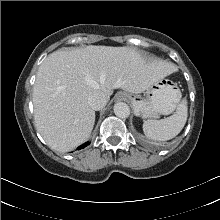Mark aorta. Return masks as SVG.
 Returning <instances> with one entry per match:
<instances>
[{
  "instance_id": "obj_1",
  "label": "aorta",
  "mask_w": 220,
  "mask_h": 220,
  "mask_svg": "<svg viewBox=\"0 0 220 220\" xmlns=\"http://www.w3.org/2000/svg\"><path fill=\"white\" fill-rule=\"evenodd\" d=\"M114 113L119 118H127L130 115V108L124 102H117L114 105Z\"/></svg>"
}]
</instances>
